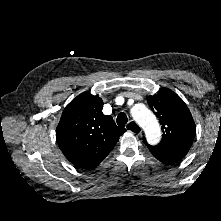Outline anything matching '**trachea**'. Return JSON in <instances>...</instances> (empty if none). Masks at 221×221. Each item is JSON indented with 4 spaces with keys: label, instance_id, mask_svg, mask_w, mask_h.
Here are the masks:
<instances>
[{
    "label": "trachea",
    "instance_id": "trachea-1",
    "mask_svg": "<svg viewBox=\"0 0 221 221\" xmlns=\"http://www.w3.org/2000/svg\"><path fill=\"white\" fill-rule=\"evenodd\" d=\"M116 121L119 126H122L128 122V118L125 113L121 112L118 114Z\"/></svg>",
    "mask_w": 221,
    "mask_h": 221
}]
</instances>
